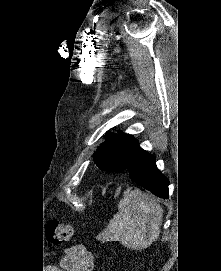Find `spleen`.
Listing matches in <instances>:
<instances>
[{"mask_svg":"<svg viewBox=\"0 0 221 271\" xmlns=\"http://www.w3.org/2000/svg\"><path fill=\"white\" fill-rule=\"evenodd\" d=\"M163 209L140 189L131 191L118 203V211L101 233L106 241H121L129 249H145L157 241Z\"/></svg>","mask_w":221,"mask_h":271,"instance_id":"spleen-1","label":"spleen"}]
</instances>
